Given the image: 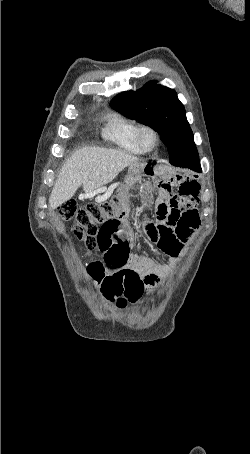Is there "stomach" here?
I'll return each instance as SVG.
<instances>
[{"instance_id": "stomach-1", "label": "stomach", "mask_w": 250, "mask_h": 454, "mask_svg": "<svg viewBox=\"0 0 250 454\" xmlns=\"http://www.w3.org/2000/svg\"><path fill=\"white\" fill-rule=\"evenodd\" d=\"M155 166L152 163L139 165H130L128 170V176H154ZM126 185L123 186L125 189Z\"/></svg>"}]
</instances>
